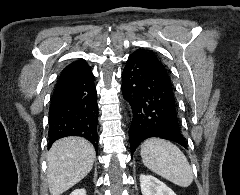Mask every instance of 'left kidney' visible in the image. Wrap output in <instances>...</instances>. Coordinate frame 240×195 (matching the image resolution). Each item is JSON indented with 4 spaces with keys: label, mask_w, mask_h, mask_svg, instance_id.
I'll use <instances>...</instances> for the list:
<instances>
[{
    "label": "left kidney",
    "mask_w": 240,
    "mask_h": 195,
    "mask_svg": "<svg viewBox=\"0 0 240 195\" xmlns=\"http://www.w3.org/2000/svg\"><path fill=\"white\" fill-rule=\"evenodd\" d=\"M142 195H176L175 191L154 175H140Z\"/></svg>",
    "instance_id": "obj_1"
}]
</instances>
